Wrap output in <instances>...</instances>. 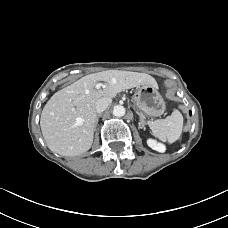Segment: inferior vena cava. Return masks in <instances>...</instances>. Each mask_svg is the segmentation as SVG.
<instances>
[{
    "instance_id": "inferior-vena-cava-1",
    "label": "inferior vena cava",
    "mask_w": 228,
    "mask_h": 228,
    "mask_svg": "<svg viewBox=\"0 0 228 228\" xmlns=\"http://www.w3.org/2000/svg\"><path fill=\"white\" fill-rule=\"evenodd\" d=\"M112 100L110 98H102L96 102L95 110L97 113H102L107 109Z\"/></svg>"
}]
</instances>
